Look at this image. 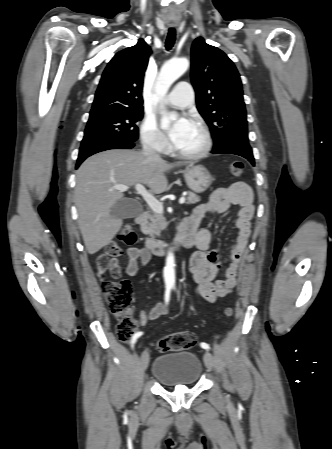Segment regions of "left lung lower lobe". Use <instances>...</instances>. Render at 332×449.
I'll use <instances>...</instances> for the list:
<instances>
[{
  "mask_svg": "<svg viewBox=\"0 0 332 449\" xmlns=\"http://www.w3.org/2000/svg\"><path fill=\"white\" fill-rule=\"evenodd\" d=\"M212 153L219 154V153H229V154H236L239 156H242L246 159H248L252 165H255L254 157L252 154V148L249 144L242 143V142H232L227 145L221 146L219 148H215L212 150Z\"/></svg>",
  "mask_w": 332,
  "mask_h": 449,
  "instance_id": "1",
  "label": "left lung lower lobe"
}]
</instances>
